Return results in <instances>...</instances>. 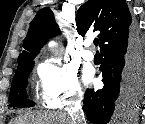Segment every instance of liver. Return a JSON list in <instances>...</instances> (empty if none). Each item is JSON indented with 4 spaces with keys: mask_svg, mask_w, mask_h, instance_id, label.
<instances>
[{
    "mask_svg": "<svg viewBox=\"0 0 145 124\" xmlns=\"http://www.w3.org/2000/svg\"><path fill=\"white\" fill-rule=\"evenodd\" d=\"M10 124H73L65 113L29 112L14 119Z\"/></svg>",
    "mask_w": 145,
    "mask_h": 124,
    "instance_id": "liver-1",
    "label": "liver"
}]
</instances>
